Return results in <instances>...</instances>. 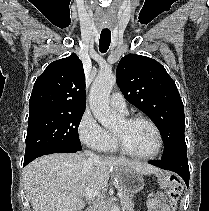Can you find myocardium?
I'll return each mask as SVG.
<instances>
[{
    "label": "myocardium",
    "instance_id": "1",
    "mask_svg": "<svg viewBox=\"0 0 209 211\" xmlns=\"http://www.w3.org/2000/svg\"><path fill=\"white\" fill-rule=\"evenodd\" d=\"M124 121L127 124H132V123L139 122V121L146 122L147 124H149L155 132L157 144H156V148L152 154L146 155V156H139V155H136V154L132 153L131 151H129L127 149L122 137L118 133L114 132L113 135L115 138V143H116L117 149L122 154H124L134 160H137V161H151V160L155 159L156 157H158V155L161 153V150L163 147V137H162L161 131H160L159 127L157 126V124L151 118H149L147 116H143V115L130 116V117L125 118Z\"/></svg>",
    "mask_w": 209,
    "mask_h": 211
}]
</instances>
